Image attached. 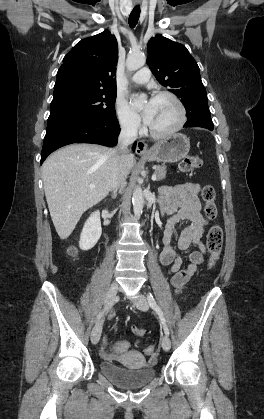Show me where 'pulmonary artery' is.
Here are the masks:
<instances>
[{
    "label": "pulmonary artery",
    "instance_id": "e3ab8cb5",
    "mask_svg": "<svg viewBox=\"0 0 264 419\" xmlns=\"http://www.w3.org/2000/svg\"><path fill=\"white\" fill-rule=\"evenodd\" d=\"M150 70L147 67L141 68L132 76V81L136 84H144L149 81Z\"/></svg>",
    "mask_w": 264,
    "mask_h": 419
}]
</instances>
